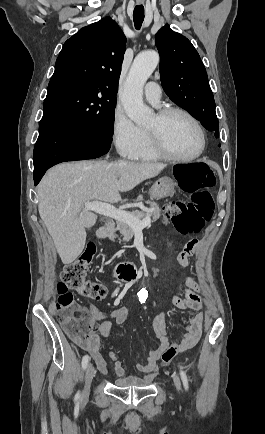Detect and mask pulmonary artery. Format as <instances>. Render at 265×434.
Masks as SVG:
<instances>
[{"label":"pulmonary artery","instance_id":"obj_1","mask_svg":"<svg viewBox=\"0 0 265 434\" xmlns=\"http://www.w3.org/2000/svg\"><path fill=\"white\" fill-rule=\"evenodd\" d=\"M145 94L147 99L152 103H157L160 94L158 81H147Z\"/></svg>","mask_w":265,"mask_h":434}]
</instances>
